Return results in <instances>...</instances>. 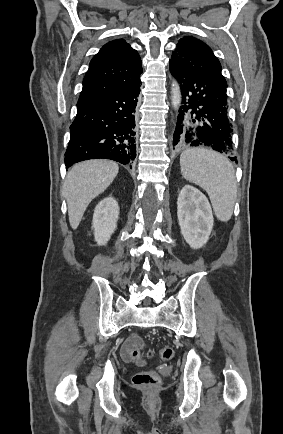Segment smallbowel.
<instances>
[{
  "label": "small bowel",
  "mask_w": 283,
  "mask_h": 434,
  "mask_svg": "<svg viewBox=\"0 0 283 434\" xmlns=\"http://www.w3.org/2000/svg\"><path fill=\"white\" fill-rule=\"evenodd\" d=\"M138 347H142V341L138 335L134 334L130 336L122 346L121 353L124 359L129 361H134L138 364H143L144 360L139 358L134 359L131 357V349L138 348Z\"/></svg>",
  "instance_id": "c3829d8e"
}]
</instances>
